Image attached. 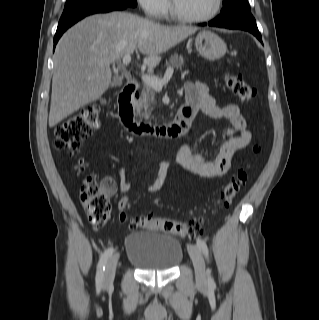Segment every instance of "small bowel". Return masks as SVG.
<instances>
[{
  "instance_id": "c3829d8e",
  "label": "small bowel",
  "mask_w": 319,
  "mask_h": 320,
  "mask_svg": "<svg viewBox=\"0 0 319 320\" xmlns=\"http://www.w3.org/2000/svg\"><path fill=\"white\" fill-rule=\"evenodd\" d=\"M184 88L185 105L183 107L194 109L196 113L202 111L213 119H226L231 125L220 134L221 144L212 158L194 150L190 143L183 142L176 149L175 161L193 177H220L229 170L233 155L251 142L252 136L247 129V122L238 105H217L206 84L187 82ZM156 166L158 173L147 189L149 193H156L161 189L164 177L169 170L167 162H158ZM118 188L121 192H128L131 189V183L125 179L121 167H118ZM128 206V198L121 197L117 204L119 212H125Z\"/></svg>"
}]
</instances>
